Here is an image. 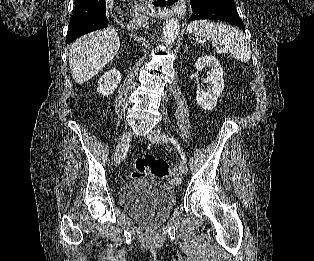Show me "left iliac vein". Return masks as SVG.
<instances>
[{"label":"left iliac vein","instance_id":"left-iliac-vein-1","mask_svg":"<svg viewBox=\"0 0 314 261\" xmlns=\"http://www.w3.org/2000/svg\"><path fill=\"white\" fill-rule=\"evenodd\" d=\"M148 139L152 142V143H156V144H160L162 142L161 137H160V133L156 130H151L150 133L148 134ZM179 168L180 171L183 174H186L188 172V167L186 165V163L181 160L179 163Z\"/></svg>","mask_w":314,"mask_h":261}]
</instances>
